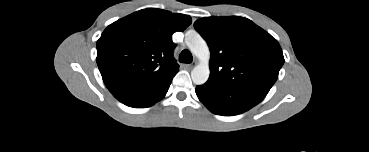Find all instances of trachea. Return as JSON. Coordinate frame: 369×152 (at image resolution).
<instances>
[{
	"label": "trachea",
	"instance_id": "obj_1",
	"mask_svg": "<svg viewBox=\"0 0 369 152\" xmlns=\"http://www.w3.org/2000/svg\"><path fill=\"white\" fill-rule=\"evenodd\" d=\"M179 61L181 63H191L193 61V56H192L191 52L187 49L183 50L180 53Z\"/></svg>",
	"mask_w": 369,
	"mask_h": 152
}]
</instances>
